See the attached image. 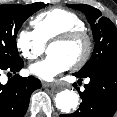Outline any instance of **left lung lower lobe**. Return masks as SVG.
Here are the masks:
<instances>
[{
  "mask_svg": "<svg viewBox=\"0 0 117 117\" xmlns=\"http://www.w3.org/2000/svg\"><path fill=\"white\" fill-rule=\"evenodd\" d=\"M82 81L90 78L85 90L79 92L82 103L70 115L60 117H112L117 110V59H113L85 76L73 74ZM76 84V83H75Z\"/></svg>",
  "mask_w": 117,
  "mask_h": 117,
  "instance_id": "left-lung-lower-lobe-1",
  "label": "left lung lower lobe"
}]
</instances>
